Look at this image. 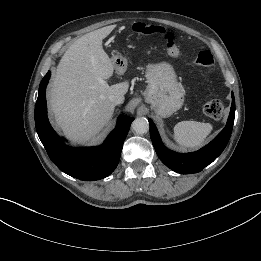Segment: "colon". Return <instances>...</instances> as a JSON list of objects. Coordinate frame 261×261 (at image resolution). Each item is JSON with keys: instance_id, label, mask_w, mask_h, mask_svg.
Masks as SVG:
<instances>
[{"instance_id": "obj_1", "label": "colon", "mask_w": 261, "mask_h": 261, "mask_svg": "<svg viewBox=\"0 0 261 261\" xmlns=\"http://www.w3.org/2000/svg\"><path fill=\"white\" fill-rule=\"evenodd\" d=\"M133 31L141 35L160 34L163 37L164 45L168 54L173 58H179L180 52L175 42V36L171 31L159 26L144 23L134 24ZM193 64L211 71L214 69L215 60L209 50H202L196 56ZM203 113L212 119L219 120L224 114V104L218 99L208 101L203 106Z\"/></svg>"}]
</instances>
